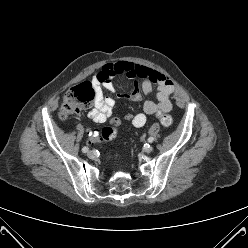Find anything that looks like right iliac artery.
Masks as SVG:
<instances>
[{"label": "right iliac artery", "mask_w": 248, "mask_h": 248, "mask_svg": "<svg viewBox=\"0 0 248 248\" xmlns=\"http://www.w3.org/2000/svg\"><path fill=\"white\" fill-rule=\"evenodd\" d=\"M88 149H89L88 147H83V148H82V152H83V153H86V152L88 151Z\"/></svg>", "instance_id": "obj_1"}]
</instances>
